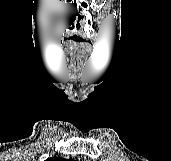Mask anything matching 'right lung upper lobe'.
<instances>
[{
	"instance_id": "cb5924a9",
	"label": "right lung upper lobe",
	"mask_w": 171,
	"mask_h": 161,
	"mask_svg": "<svg viewBox=\"0 0 171 161\" xmlns=\"http://www.w3.org/2000/svg\"><path fill=\"white\" fill-rule=\"evenodd\" d=\"M45 161H74V160H72V159L66 160V159L61 158V157H52V158H48Z\"/></svg>"
}]
</instances>
